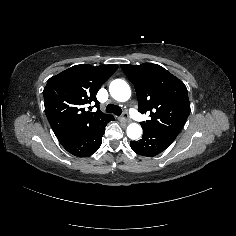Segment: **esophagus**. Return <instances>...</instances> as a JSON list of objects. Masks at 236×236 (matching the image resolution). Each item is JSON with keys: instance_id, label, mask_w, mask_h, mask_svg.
<instances>
[{"instance_id": "obj_1", "label": "esophagus", "mask_w": 236, "mask_h": 236, "mask_svg": "<svg viewBox=\"0 0 236 236\" xmlns=\"http://www.w3.org/2000/svg\"><path fill=\"white\" fill-rule=\"evenodd\" d=\"M127 115H128V111L125 110V111L123 112V117H122V119H123L125 122H129V121H130Z\"/></svg>"}]
</instances>
